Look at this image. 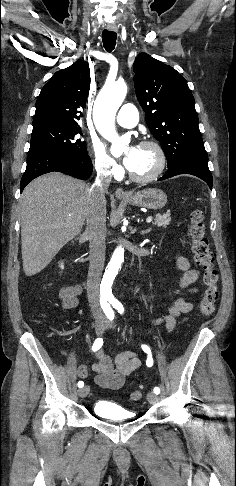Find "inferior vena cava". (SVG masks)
<instances>
[{
    "instance_id": "inferior-vena-cava-1",
    "label": "inferior vena cava",
    "mask_w": 236,
    "mask_h": 486,
    "mask_svg": "<svg viewBox=\"0 0 236 486\" xmlns=\"http://www.w3.org/2000/svg\"><path fill=\"white\" fill-rule=\"evenodd\" d=\"M106 164L96 166L97 176L90 187V202L86 212L89 238L90 265L87 277V297L94 315H102L99 304V286L105 261L106 237V199L105 192L111 182Z\"/></svg>"
}]
</instances>
